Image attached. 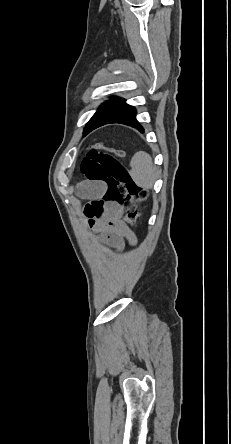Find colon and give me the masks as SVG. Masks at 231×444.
Returning <instances> with one entry per match:
<instances>
[{
	"instance_id": "obj_1",
	"label": "colon",
	"mask_w": 231,
	"mask_h": 444,
	"mask_svg": "<svg viewBox=\"0 0 231 444\" xmlns=\"http://www.w3.org/2000/svg\"><path fill=\"white\" fill-rule=\"evenodd\" d=\"M123 157L122 150L97 143L81 161L80 169L89 182H101L107 186L102 202L86 207L92 226L102 213L104 201L117 203L125 212L129 224H134L139 217L138 203L146 199L147 191L131 178L122 162Z\"/></svg>"
}]
</instances>
